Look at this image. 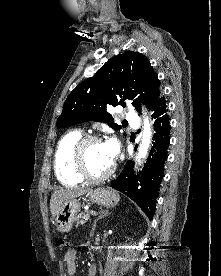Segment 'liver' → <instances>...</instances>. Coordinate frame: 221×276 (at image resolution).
Returning <instances> with one entry per match:
<instances>
[{
	"instance_id": "6515ba94",
	"label": "liver",
	"mask_w": 221,
	"mask_h": 276,
	"mask_svg": "<svg viewBox=\"0 0 221 276\" xmlns=\"http://www.w3.org/2000/svg\"><path fill=\"white\" fill-rule=\"evenodd\" d=\"M92 191L89 188H66L54 191L50 200V211L55 218L60 205L67 199L76 198Z\"/></svg>"
}]
</instances>
